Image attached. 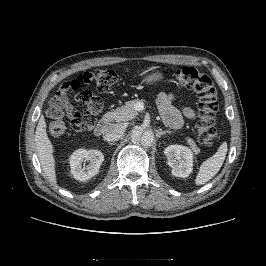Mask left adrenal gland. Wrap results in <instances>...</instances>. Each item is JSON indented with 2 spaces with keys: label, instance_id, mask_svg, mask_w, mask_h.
Returning a JSON list of instances; mask_svg holds the SVG:
<instances>
[{
  "label": "left adrenal gland",
  "instance_id": "obj_1",
  "mask_svg": "<svg viewBox=\"0 0 266 266\" xmlns=\"http://www.w3.org/2000/svg\"><path fill=\"white\" fill-rule=\"evenodd\" d=\"M172 132L171 131H169V130H165V131H163L162 129H159V131H157V134L159 135V136H161V135H165V134H171Z\"/></svg>",
  "mask_w": 266,
  "mask_h": 266
}]
</instances>
